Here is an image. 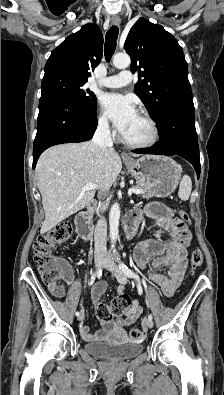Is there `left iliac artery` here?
<instances>
[{"instance_id":"obj_1","label":"left iliac artery","mask_w":224,"mask_h":395,"mask_svg":"<svg viewBox=\"0 0 224 395\" xmlns=\"http://www.w3.org/2000/svg\"><path fill=\"white\" fill-rule=\"evenodd\" d=\"M119 268L122 270V272H123L127 277H129V278H135V279L137 280V282H138V285H137L138 293L141 295L142 292H143V289H142V286H141V282H140L139 276L136 275L131 269H129V268L127 267L126 264H124V263L121 262V261L119 262ZM148 318L152 319L153 317H152V315L150 314V315L148 316Z\"/></svg>"}]
</instances>
